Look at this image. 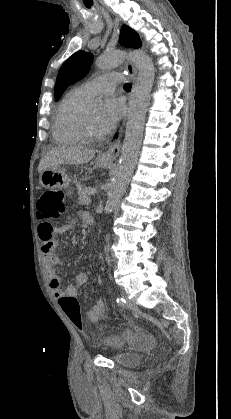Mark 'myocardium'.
<instances>
[{"mask_svg":"<svg viewBox=\"0 0 231 419\" xmlns=\"http://www.w3.org/2000/svg\"><path fill=\"white\" fill-rule=\"evenodd\" d=\"M76 127L81 137L86 141L97 142L103 138L102 135H96L90 131L88 127V123H87V110L86 109L82 110L81 113L79 114L76 120Z\"/></svg>","mask_w":231,"mask_h":419,"instance_id":"1","label":"myocardium"}]
</instances>
